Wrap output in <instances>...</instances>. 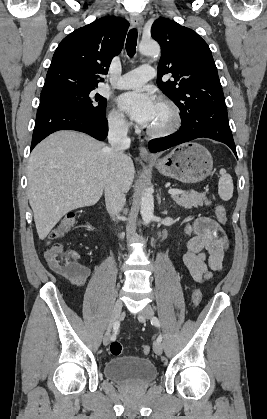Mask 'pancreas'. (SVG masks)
I'll list each match as a JSON object with an SVG mask.
<instances>
[{
    "mask_svg": "<svg viewBox=\"0 0 267 419\" xmlns=\"http://www.w3.org/2000/svg\"><path fill=\"white\" fill-rule=\"evenodd\" d=\"M173 199L179 206H182L185 209L203 206V204H211V201L207 199L204 193H198L195 191H186L181 195L173 196Z\"/></svg>",
    "mask_w": 267,
    "mask_h": 419,
    "instance_id": "pancreas-1",
    "label": "pancreas"
}]
</instances>
